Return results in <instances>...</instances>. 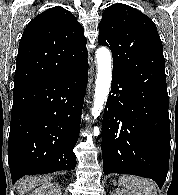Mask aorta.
I'll use <instances>...</instances> for the list:
<instances>
[{"label": "aorta", "mask_w": 178, "mask_h": 195, "mask_svg": "<svg viewBox=\"0 0 178 195\" xmlns=\"http://www.w3.org/2000/svg\"><path fill=\"white\" fill-rule=\"evenodd\" d=\"M96 58L97 78L94 105L91 111L95 118L99 116L104 103L107 101L112 80V61L109 49L106 47H100L96 52Z\"/></svg>", "instance_id": "aorta-1"}]
</instances>
